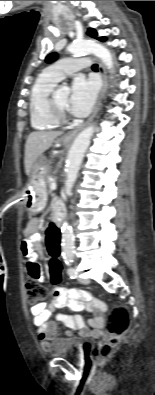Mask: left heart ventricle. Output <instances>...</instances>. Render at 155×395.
Listing matches in <instances>:
<instances>
[{
    "label": "left heart ventricle",
    "instance_id": "left-heart-ventricle-1",
    "mask_svg": "<svg viewBox=\"0 0 155 395\" xmlns=\"http://www.w3.org/2000/svg\"><path fill=\"white\" fill-rule=\"evenodd\" d=\"M56 101L58 105L64 109L67 110L68 108V101H69V94L67 91L64 90H58L55 94Z\"/></svg>",
    "mask_w": 155,
    "mask_h": 395
}]
</instances>
